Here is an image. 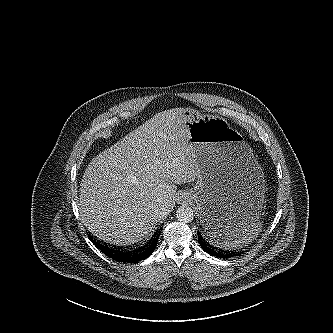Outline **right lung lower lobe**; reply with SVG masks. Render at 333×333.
<instances>
[{"label":"right lung lower lobe","instance_id":"obj_1","mask_svg":"<svg viewBox=\"0 0 333 333\" xmlns=\"http://www.w3.org/2000/svg\"><path fill=\"white\" fill-rule=\"evenodd\" d=\"M159 234L154 236L152 240H150V243L145 245L142 250H139V252L132 253V254H123L118 251H115L113 249L106 248L96 241H92L105 255H107L109 258L114 259L118 262L123 263H136L138 261L144 260L148 258L153 251L155 250V247L157 246Z\"/></svg>","mask_w":333,"mask_h":333}]
</instances>
